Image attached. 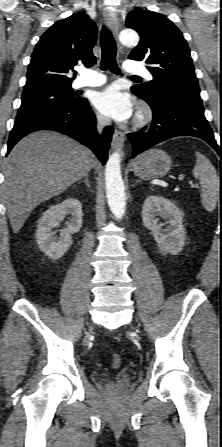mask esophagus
Wrapping results in <instances>:
<instances>
[{"label":"esophagus","mask_w":222,"mask_h":447,"mask_svg":"<svg viewBox=\"0 0 222 447\" xmlns=\"http://www.w3.org/2000/svg\"><path fill=\"white\" fill-rule=\"evenodd\" d=\"M104 16L107 26L112 30L115 38H117L119 31V21L117 16L110 12H105ZM117 46H118V52L122 53V47L119 44H117ZM124 142H125V134L121 130L115 129L112 137L111 147L114 150L120 151L122 156H124V153L122 151Z\"/></svg>","instance_id":"1"}]
</instances>
